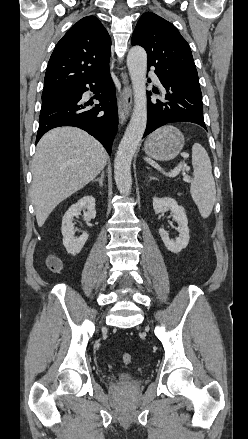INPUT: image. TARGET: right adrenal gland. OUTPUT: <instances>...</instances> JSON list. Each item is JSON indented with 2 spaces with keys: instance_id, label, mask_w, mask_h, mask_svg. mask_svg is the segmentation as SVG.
Here are the masks:
<instances>
[{
  "instance_id": "right-adrenal-gland-1",
  "label": "right adrenal gland",
  "mask_w": 248,
  "mask_h": 439,
  "mask_svg": "<svg viewBox=\"0 0 248 439\" xmlns=\"http://www.w3.org/2000/svg\"><path fill=\"white\" fill-rule=\"evenodd\" d=\"M104 177H105V173H104V171H102L100 177L97 178V179H94L93 182H94V181H98V182H99V185H100V186H103V180H104Z\"/></svg>"
}]
</instances>
